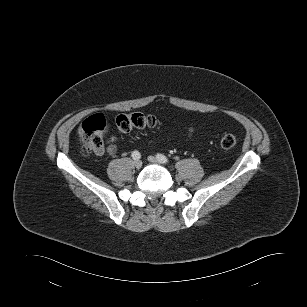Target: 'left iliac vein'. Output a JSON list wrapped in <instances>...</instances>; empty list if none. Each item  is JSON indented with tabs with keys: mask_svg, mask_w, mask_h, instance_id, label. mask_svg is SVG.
Masks as SVG:
<instances>
[{
	"mask_svg": "<svg viewBox=\"0 0 307 307\" xmlns=\"http://www.w3.org/2000/svg\"><path fill=\"white\" fill-rule=\"evenodd\" d=\"M149 162L151 163H161L157 158H155L154 156H149L148 157Z\"/></svg>",
	"mask_w": 307,
	"mask_h": 307,
	"instance_id": "1",
	"label": "left iliac vein"
}]
</instances>
